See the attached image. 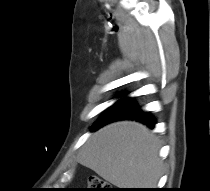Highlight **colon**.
<instances>
[{"instance_id":"5ec220e1","label":"colon","mask_w":210,"mask_h":191,"mask_svg":"<svg viewBox=\"0 0 210 191\" xmlns=\"http://www.w3.org/2000/svg\"><path fill=\"white\" fill-rule=\"evenodd\" d=\"M86 191H112V189L102 179L90 177Z\"/></svg>"}]
</instances>
